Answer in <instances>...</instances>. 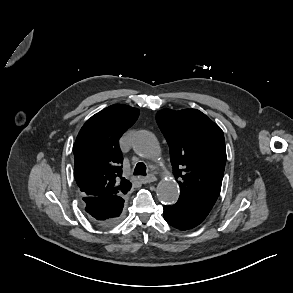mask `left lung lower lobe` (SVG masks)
<instances>
[{
  "instance_id": "left-lung-lower-lobe-1",
  "label": "left lung lower lobe",
  "mask_w": 293,
  "mask_h": 293,
  "mask_svg": "<svg viewBox=\"0 0 293 293\" xmlns=\"http://www.w3.org/2000/svg\"><path fill=\"white\" fill-rule=\"evenodd\" d=\"M163 214L168 224L184 231L202 223L209 212L178 199L174 205L164 206Z\"/></svg>"
}]
</instances>
